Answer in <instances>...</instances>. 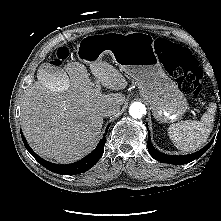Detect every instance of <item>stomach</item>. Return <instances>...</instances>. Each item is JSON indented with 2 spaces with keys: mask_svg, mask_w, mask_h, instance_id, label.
I'll return each mask as SVG.
<instances>
[{
  "mask_svg": "<svg viewBox=\"0 0 221 221\" xmlns=\"http://www.w3.org/2000/svg\"><path fill=\"white\" fill-rule=\"evenodd\" d=\"M154 39L143 32H109L85 38L79 47L83 63L109 55L122 71L135 79L141 96L161 123H173L187 110V100L177 84L164 72L153 48Z\"/></svg>",
  "mask_w": 221,
  "mask_h": 221,
  "instance_id": "1",
  "label": "stomach"
}]
</instances>
